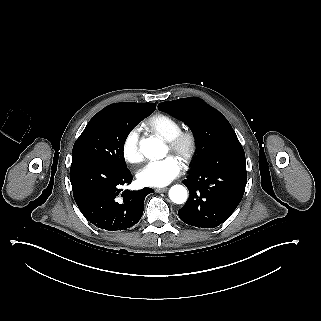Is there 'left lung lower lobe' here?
<instances>
[{
  "label": "left lung lower lobe",
  "mask_w": 321,
  "mask_h": 321,
  "mask_svg": "<svg viewBox=\"0 0 321 321\" xmlns=\"http://www.w3.org/2000/svg\"><path fill=\"white\" fill-rule=\"evenodd\" d=\"M242 146L220 150L189 171L183 184L190 196L178 211L191 226L214 228L228 219L239 205L247 182Z\"/></svg>",
  "instance_id": "1"
}]
</instances>
